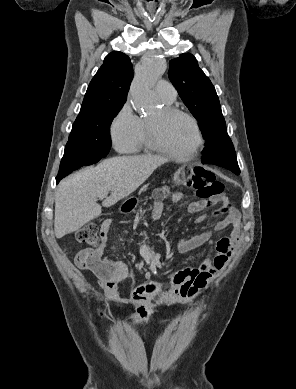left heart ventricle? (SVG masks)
<instances>
[{
	"label": "left heart ventricle",
	"mask_w": 296,
	"mask_h": 389,
	"mask_svg": "<svg viewBox=\"0 0 296 389\" xmlns=\"http://www.w3.org/2000/svg\"><path fill=\"white\" fill-rule=\"evenodd\" d=\"M147 121L153 126L160 143L175 153H186L195 143L194 128L185 117L165 115L160 109Z\"/></svg>",
	"instance_id": "obj_1"
}]
</instances>
